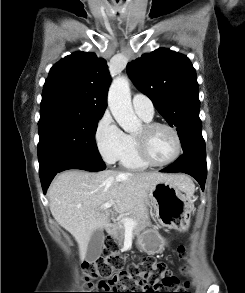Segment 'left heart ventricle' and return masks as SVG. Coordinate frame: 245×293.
I'll list each match as a JSON object with an SVG mask.
<instances>
[{"label": "left heart ventricle", "mask_w": 245, "mask_h": 293, "mask_svg": "<svg viewBox=\"0 0 245 293\" xmlns=\"http://www.w3.org/2000/svg\"><path fill=\"white\" fill-rule=\"evenodd\" d=\"M136 136L146 142L147 153L155 162H164L170 159L175 152L173 134L165 128H156L146 132L142 127Z\"/></svg>", "instance_id": "obj_1"}]
</instances>
